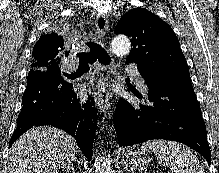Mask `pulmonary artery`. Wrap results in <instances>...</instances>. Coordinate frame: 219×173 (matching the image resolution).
<instances>
[{"label":"pulmonary artery","instance_id":"pulmonary-artery-1","mask_svg":"<svg viewBox=\"0 0 219 173\" xmlns=\"http://www.w3.org/2000/svg\"><path fill=\"white\" fill-rule=\"evenodd\" d=\"M130 71L132 73V77L134 79V81L139 85L141 86L143 89H146L145 86H144V83H143V78L142 76L140 75V73L138 72L137 69H135L134 67H130Z\"/></svg>","mask_w":219,"mask_h":173}]
</instances>
